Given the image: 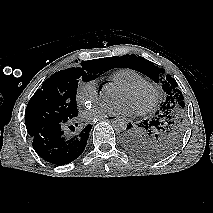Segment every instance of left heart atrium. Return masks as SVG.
Returning a JSON list of instances; mask_svg holds the SVG:
<instances>
[{
  "mask_svg": "<svg viewBox=\"0 0 213 213\" xmlns=\"http://www.w3.org/2000/svg\"><path fill=\"white\" fill-rule=\"evenodd\" d=\"M133 112V108L125 101L109 105L104 103L96 104L84 112L86 121H95L110 116H127Z\"/></svg>",
  "mask_w": 213,
  "mask_h": 213,
  "instance_id": "left-heart-atrium-1",
  "label": "left heart atrium"
}]
</instances>
